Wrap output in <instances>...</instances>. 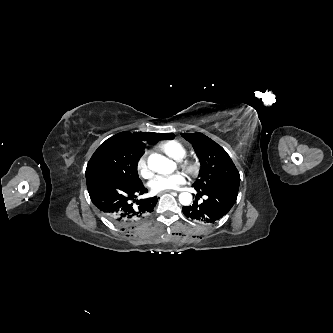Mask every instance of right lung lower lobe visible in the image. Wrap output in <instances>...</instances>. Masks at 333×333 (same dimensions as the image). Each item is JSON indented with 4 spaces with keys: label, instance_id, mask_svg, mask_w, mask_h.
<instances>
[{
    "label": "right lung lower lobe",
    "instance_id": "98d812e1",
    "mask_svg": "<svg viewBox=\"0 0 333 333\" xmlns=\"http://www.w3.org/2000/svg\"><path fill=\"white\" fill-rule=\"evenodd\" d=\"M87 188L92 203L122 228L131 227L153 211L159 197L136 200L148 190L142 182L132 183L103 172L86 175Z\"/></svg>",
    "mask_w": 333,
    "mask_h": 333
}]
</instances>
